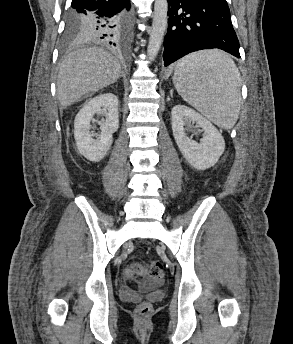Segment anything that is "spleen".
Listing matches in <instances>:
<instances>
[{
	"instance_id": "obj_1",
	"label": "spleen",
	"mask_w": 293,
	"mask_h": 344,
	"mask_svg": "<svg viewBox=\"0 0 293 344\" xmlns=\"http://www.w3.org/2000/svg\"><path fill=\"white\" fill-rule=\"evenodd\" d=\"M179 95L217 126L230 129L240 110L241 76L234 61L219 50L192 53L175 66Z\"/></svg>"
}]
</instances>
